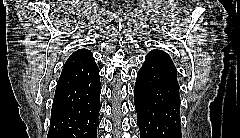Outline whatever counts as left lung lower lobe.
I'll return each instance as SVG.
<instances>
[{
    "label": "left lung lower lobe",
    "mask_w": 240,
    "mask_h": 138,
    "mask_svg": "<svg viewBox=\"0 0 240 138\" xmlns=\"http://www.w3.org/2000/svg\"><path fill=\"white\" fill-rule=\"evenodd\" d=\"M134 98L140 138H182L177 70L166 52L153 50L146 55Z\"/></svg>",
    "instance_id": "0a47b994"
}]
</instances>
